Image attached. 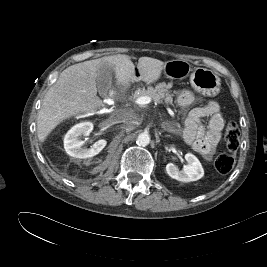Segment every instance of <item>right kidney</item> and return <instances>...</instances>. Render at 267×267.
I'll use <instances>...</instances> for the list:
<instances>
[{
    "label": "right kidney",
    "mask_w": 267,
    "mask_h": 267,
    "mask_svg": "<svg viewBox=\"0 0 267 267\" xmlns=\"http://www.w3.org/2000/svg\"><path fill=\"white\" fill-rule=\"evenodd\" d=\"M92 130L93 124L91 122H83L73 126L64 136V149L67 154L80 159L91 158L99 154L107 144L105 139L98 140L88 149L82 147L84 142L79 139V136H87Z\"/></svg>",
    "instance_id": "1"
}]
</instances>
